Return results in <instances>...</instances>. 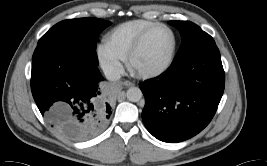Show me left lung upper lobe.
Listing matches in <instances>:
<instances>
[{"instance_id": "5c2ea615", "label": "left lung upper lobe", "mask_w": 267, "mask_h": 166, "mask_svg": "<svg viewBox=\"0 0 267 166\" xmlns=\"http://www.w3.org/2000/svg\"><path fill=\"white\" fill-rule=\"evenodd\" d=\"M181 33L182 44L174 62L182 61L202 48L216 45L213 38L190 21H169Z\"/></svg>"}]
</instances>
